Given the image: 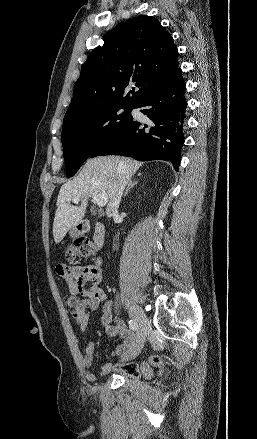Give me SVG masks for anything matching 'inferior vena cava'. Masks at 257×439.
<instances>
[{"mask_svg": "<svg viewBox=\"0 0 257 439\" xmlns=\"http://www.w3.org/2000/svg\"><path fill=\"white\" fill-rule=\"evenodd\" d=\"M126 184H127V180H123L122 183L114 192V194L110 197V201L106 209V214L108 217H114L118 214V207Z\"/></svg>", "mask_w": 257, "mask_h": 439, "instance_id": "inferior-vena-cava-1", "label": "inferior vena cava"}]
</instances>
